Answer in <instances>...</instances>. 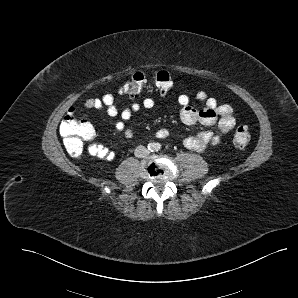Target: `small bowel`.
<instances>
[{
  "mask_svg": "<svg viewBox=\"0 0 298 298\" xmlns=\"http://www.w3.org/2000/svg\"><path fill=\"white\" fill-rule=\"evenodd\" d=\"M195 99L204 103L202 109L192 107L190 105V97L187 94H181L178 97V103L181 105L180 119L182 122L187 125L199 122L206 126L217 125L218 127V130L215 132L201 131L184 139L183 144L187 149L200 152L208 146L219 145L223 137L234 128L236 120L230 105L219 104L215 98L208 96L204 91L197 92ZM154 106L155 101L152 98H145L141 102L132 103L129 107L120 110L112 94H106L100 98L87 99L83 102V107L86 109L104 111L109 116H119L115 127L122 132L126 139H131L134 136L133 129L127 127L126 122L135 113L143 109H152ZM156 136L160 139H166L170 136V133L163 128L156 132ZM88 151L91 155L106 161H112L115 158V153L101 144H91Z\"/></svg>",
  "mask_w": 298,
  "mask_h": 298,
  "instance_id": "c3829d8e",
  "label": "small bowel"
}]
</instances>
